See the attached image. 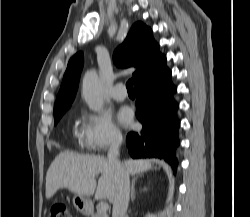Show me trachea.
Segmentation results:
<instances>
[{
	"label": "trachea",
	"instance_id": "3493384b",
	"mask_svg": "<svg viewBox=\"0 0 250 217\" xmlns=\"http://www.w3.org/2000/svg\"><path fill=\"white\" fill-rule=\"evenodd\" d=\"M126 88L128 92H134L133 89V85H132V79H130L127 83H126Z\"/></svg>",
	"mask_w": 250,
	"mask_h": 217
}]
</instances>
